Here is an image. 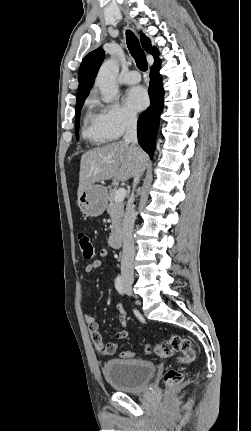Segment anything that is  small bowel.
I'll return each mask as SVG.
<instances>
[{"label":"small bowel","instance_id":"small-bowel-1","mask_svg":"<svg viewBox=\"0 0 251 431\" xmlns=\"http://www.w3.org/2000/svg\"><path fill=\"white\" fill-rule=\"evenodd\" d=\"M108 255H109L108 250H106V249L100 250V256L101 257H107ZM100 267H102V261H100V260H94V261L88 263L87 265L84 266V268L81 272V276H80L81 279H83L85 275L90 274L95 269H98ZM81 286H82V284H81ZM115 308L119 311L118 318H119L121 325L124 327V329L117 331L114 335V341L108 342L106 344L102 340V335L99 331V325H98L96 319L90 314L84 315V320H85V323L87 325V329H88L89 335L91 337V340H92L94 346L96 347V349L104 355L114 354L119 347V341L124 340V339L128 338V336H129L128 330L125 329V327L127 326V316L123 310L121 303L115 302Z\"/></svg>","mask_w":251,"mask_h":431}]
</instances>
